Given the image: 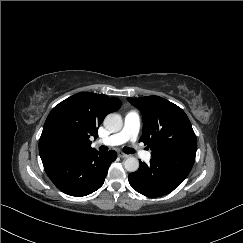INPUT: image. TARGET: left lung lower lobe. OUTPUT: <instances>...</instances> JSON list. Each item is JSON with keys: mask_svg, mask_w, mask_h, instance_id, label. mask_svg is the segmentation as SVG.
Instances as JSON below:
<instances>
[{"mask_svg": "<svg viewBox=\"0 0 243 243\" xmlns=\"http://www.w3.org/2000/svg\"><path fill=\"white\" fill-rule=\"evenodd\" d=\"M196 151H172L152 157L147 165L140 161L139 169L128 175L137 192L148 197H160L172 192L187 177L195 161Z\"/></svg>", "mask_w": 243, "mask_h": 243, "instance_id": "0a47b994", "label": "left lung lower lobe"}]
</instances>
